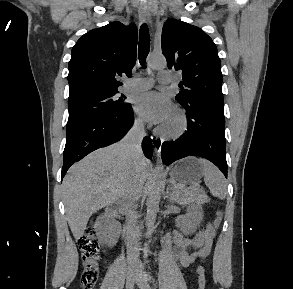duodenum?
I'll return each mask as SVG.
<instances>
[{"label": "duodenum", "instance_id": "410a0bca", "mask_svg": "<svg viewBox=\"0 0 293 289\" xmlns=\"http://www.w3.org/2000/svg\"><path fill=\"white\" fill-rule=\"evenodd\" d=\"M109 212L113 215H118L119 212H120V207L117 206V205H113L109 208ZM123 237L125 239H128L129 238V230L128 228H125L124 231H123Z\"/></svg>", "mask_w": 293, "mask_h": 289}]
</instances>
